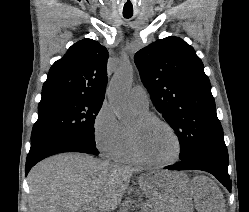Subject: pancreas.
<instances>
[{
  "label": "pancreas",
  "instance_id": "obj_1",
  "mask_svg": "<svg viewBox=\"0 0 249 212\" xmlns=\"http://www.w3.org/2000/svg\"><path fill=\"white\" fill-rule=\"evenodd\" d=\"M141 212H156L151 204H141Z\"/></svg>",
  "mask_w": 249,
  "mask_h": 212
}]
</instances>
